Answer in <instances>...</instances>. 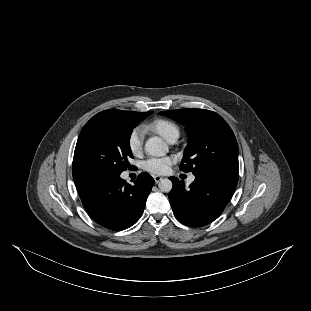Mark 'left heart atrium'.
I'll return each instance as SVG.
<instances>
[{
	"mask_svg": "<svg viewBox=\"0 0 311 311\" xmlns=\"http://www.w3.org/2000/svg\"><path fill=\"white\" fill-rule=\"evenodd\" d=\"M177 162V157L170 155L162 158H149L142 163V169L150 174L167 175L171 167Z\"/></svg>",
	"mask_w": 311,
	"mask_h": 311,
	"instance_id": "39dd6f15",
	"label": "left heart atrium"
}]
</instances>
